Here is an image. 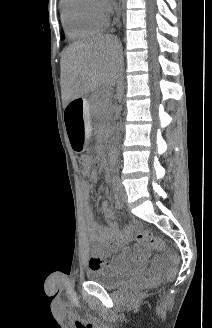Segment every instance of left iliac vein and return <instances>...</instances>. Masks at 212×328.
<instances>
[{
	"label": "left iliac vein",
	"instance_id": "1",
	"mask_svg": "<svg viewBox=\"0 0 212 328\" xmlns=\"http://www.w3.org/2000/svg\"><path fill=\"white\" fill-rule=\"evenodd\" d=\"M120 192H121V198L123 202H127V194H126V190L124 188L123 185H121L120 183Z\"/></svg>",
	"mask_w": 212,
	"mask_h": 328
}]
</instances>
